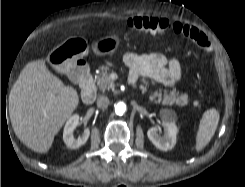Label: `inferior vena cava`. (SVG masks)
I'll use <instances>...</instances> for the list:
<instances>
[{"label": "inferior vena cava", "mask_w": 245, "mask_h": 187, "mask_svg": "<svg viewBox=\"0 0 245 187\" xmlns=\"http://www.w3.org/2000/svg\"><path fill=\"white\" fill-rule=\"evenodd\" d=\"M110 103V100L107 96H100L97 99V106L101 109H106Z\"/></svg>", "instance_id": "602c4592"}]
</instances>
